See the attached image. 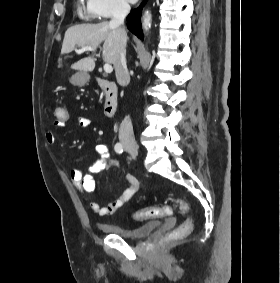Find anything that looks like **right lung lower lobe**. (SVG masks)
<instances>
[{
	"mask_svg": "<svg viewBox=\"0 0 280 283\" xmlns=\"http://www.w3.org/2000/svg\"><path fill=\"white\" fill-rule=\"evenodd\" d=\"M147 0L140 5L139 8L134 9L128 16H127V27L128 29L136 35L138 38L143 39V32L141 26V11L142 7L146 3Z\"/></svg>",
	"mask_w": 280,
	"mask_h": 283,
	"instance_id": "98d812e1",
	"label": "right lung lower lobe"
}]
</instances>
